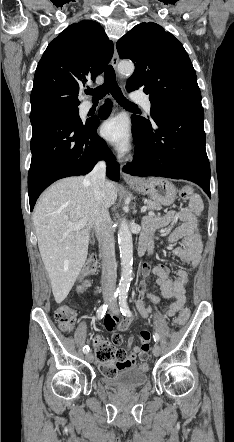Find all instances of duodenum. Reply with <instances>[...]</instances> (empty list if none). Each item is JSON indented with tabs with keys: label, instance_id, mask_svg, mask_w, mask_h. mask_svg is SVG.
<instances>
[{
	"label": "duodenum",
	"instance_id": "1",
	"mask_svg": "<svg viewBox=\"0 0 234 442\" xmlns=\"http://www.w3.org/2000/svg\"><path fill=\"white\" fill-rule=\"evenodd\" d=\"M150 247L149 239L146 236H142L138 243V254L144 255Z\"/></svg>",
	"mask_w": 234,
	"mask_h": 442
}]
</instances>
